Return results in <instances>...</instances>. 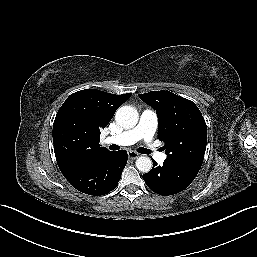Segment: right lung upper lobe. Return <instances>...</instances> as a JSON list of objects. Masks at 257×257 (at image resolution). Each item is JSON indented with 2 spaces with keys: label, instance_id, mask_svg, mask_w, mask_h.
Returning <instances> with one entry per match:
<instances>
[{
  "label": "right lung upper lobe",
  "instance_id": "right-lung-upper-lobe-1",
  "mask_svg": "<svg viewBox=\"0 0 257 257\" xmlns=\"http://www.w3.org/2000/svg\"><path fill=\"white\" fill-rule=\"evenodd\" d=\"M131 96L95 89L71 94L58 110L53 124V144L61 171L77 169L109 152L100 147V129Z\"/></svg>",
  "mask_w": 257,
  "mask_h": 257
}]
</instances>
